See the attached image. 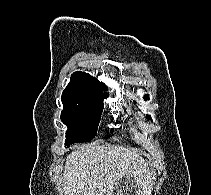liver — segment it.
Instances as JSON below:
<instances>
[{"label":"liver","instance_id":"obj_1","mask_svg":"<svg viewBox=\"0 0 211 195\" xmlns=\"http://www.w3.org/2000/svg\"><path fill=\"white\" fill-rule=\"evenodd\" d=\"M153 175L145 159L123 146L83 145L66 158L61 195H151ZM123 178H132L135 190L115 192Z\"/></svg>","mask_w":211,"mask_h":195}]
</instances>
